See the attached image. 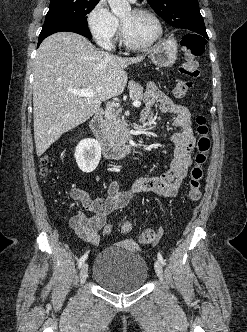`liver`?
<instances>
[{"instance_id":"1","label":"liver","mask_w":247,"mask_h":332,"mask_svg":"<svg viewBox=\"0 0 247 332\" xmlns=\"http://www.w3.org/2000/svg\"><path fill=\"white\" fill-rule=\"evenodd\" d=\"M144 56L122 58L97 51L85 37L59 32L47 37L35 58L33 81L34 140L41 156L65 132L87 121L101 101L120 95L127 83L125 68ZM91 89L94 97L72 90Z\"/></svg>"}]
</instances>
